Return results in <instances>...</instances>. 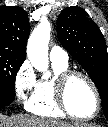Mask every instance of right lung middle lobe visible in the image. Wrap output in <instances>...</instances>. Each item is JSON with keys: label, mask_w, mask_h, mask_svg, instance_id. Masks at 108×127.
I'll return each mask as SVG.
<instances>
[{"label": "right lung middle lobe", "mask_w": 108, "mask_h": 127, "mask_svg": "<svg viewBox=\"0 0 108 127\" xmlns=\"http://www.w3.org/2000/svg\"><path fill=\"white\" fill-rule=\"evenodd\" d=\"M24 60L0 53V93L15 96V78Z\"/></svg>", "instance_id": "obj_1"}]
</instances>
